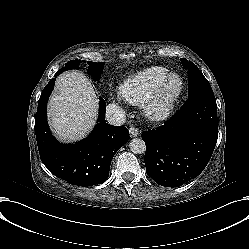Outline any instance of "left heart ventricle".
Returning <instances> with one entry per match:
<instances>
[{
  "label": "left heart ventricle",
  "instance_id": "b2bd125f",
  "mask_svg": "<svg viewBox=\"0 0 249 249\" xmlns=\"http://www.w3.org/2000/svg\"><path fill=\"white\" fill-rule=\"evenodd\" d=\"M174 84V81L172 80L171 82H170V85H173Z\"/></svg>",
  "mask_w": 249,
  "mask_h": 249
}]
</instances>
